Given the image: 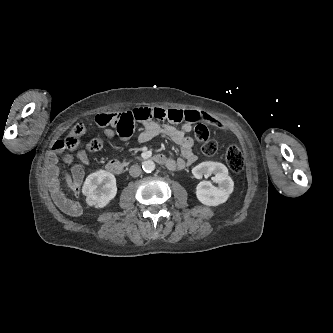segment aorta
Segmentation results:
<instances>
[{
    "label": "aorta",
    "mask_w": 333,
    "mask_h": 333,
    "mask_svg": "<svg viewBox=\"0 0 333 333\" xmlns=\"http://www.w3.org/2000/svg\"><path fill=\"white\" fill-rule=\"evenodd\" d=\"M143 170L147 173H151L155 170V163L151 160H146L142 164Z\"/></svg>",
    "instance_id": "762f6f07"
}]
</instances>
